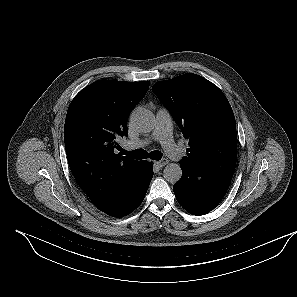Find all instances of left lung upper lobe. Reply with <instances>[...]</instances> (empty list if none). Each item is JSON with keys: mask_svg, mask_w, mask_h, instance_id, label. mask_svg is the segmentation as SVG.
<instances>
[{"mask_svg": "<svg viewBox=\"0 0 297 297\" xmlns=\"http://www.w3.org/2000/svg\"><path fill=\"white\" fill-rule=\"evenodd\" d=\"M152 91L189 139L190 148L180 165L193 172L194 184L209 187L231 181L237 160V132L223 92L193 73L158 81Z\"/></svg>", "mask_w": 297, "mask_h": 297, "instance_id": "left-lung-upper-lobe-1", "label": "left lung upper lobe"}]
</instances>
